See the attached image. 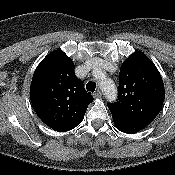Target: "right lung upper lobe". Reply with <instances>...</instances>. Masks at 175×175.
<instances>
[{
    "label": "right lung upper lobe",
    "mask_w": 175,
    "mask_h": 175,
    "mask_svg": "<svg viewBox=\"0 0 175 175\" xmlns=\"http://www.w3.org/2000/svg\"><path fill=\"white\" fill-rule=\"evenodd\" d=\"M30 99L38 117L60 132L75 128L93 101L75 76L73 61L61 50L50 53L36 68Z\"/></svg>",
    "instance_id": "right-lung-upper-lobe-1"
}]
</instances>
